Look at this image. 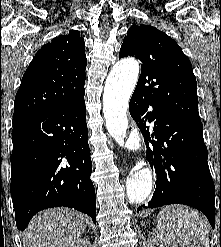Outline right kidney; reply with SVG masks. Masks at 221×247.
Instances as JSON below:
<instances>
[{"label":"right kidney","mask_w":221,"mask_h":247,"mask_svg":"<svg viewBox=\"0 0 221 247\" xmlns=\"http://www.w3.org/2000/svg\"><path fill=\"white\" fill-rule=\"evenodd\" d=\"M70 247H91L90 240L88 238H80L70 244Z\"/></svg>","instance_id":"right-kidney-1"}]
</instances>
